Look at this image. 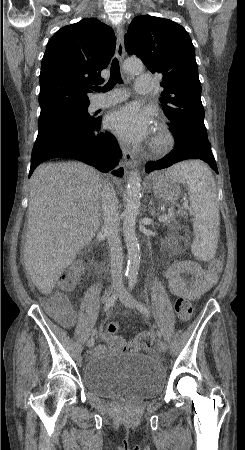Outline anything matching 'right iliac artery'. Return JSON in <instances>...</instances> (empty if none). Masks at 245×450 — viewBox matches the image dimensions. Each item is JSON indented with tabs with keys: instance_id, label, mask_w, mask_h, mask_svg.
Returning a JSON list of instances; mask_svg holds the SVG:
<instances>
[{
	"instance_id": "obj_1",
	"label": "right iliac artery",
	"mask_w": 245,
	"mask_h": 450,
	"mask_svg": "<svg viewBox=\"0 0 245 450\" xmlns=\"http://www.w3.org/2000/svg\"><path fill=\"white\" fill-rule=\"evenodd\" d=\"M117 298H118V293H117V292L114 293V294H112V295L109 297L108 301L106 302V305H105V308H104V312H106L107 310H109V308H111V307L115 304ZM96 333H97V330H96V328H95V329L92 331V336H94Z\"/></svg>"
}]
</instances>
